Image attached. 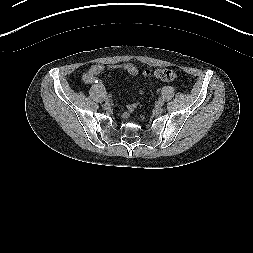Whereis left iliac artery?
I'll list each match as a JSON object with an SVG mask.
<instances>
[{"instance_id": "44dca946", "label": "left iliac artery", "mask_w": 253, "mask_h": 253, "mask_svg": "<svg viewBox=\"0 0 253 253\" xmlns=\"http://www.w3.org/2000/svg\"><path fill=\"white\" fill-rule=\"evenodd\" d=\"M156 102H157L158 104H161V103L163 102V99H162L161 97H158V98L156 99Z\"/></svg>"}]
</instances>
